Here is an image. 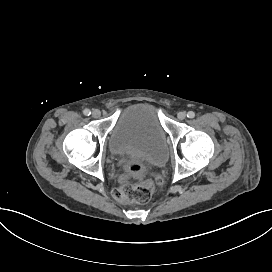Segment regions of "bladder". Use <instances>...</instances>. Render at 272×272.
<instances>
[{"mask_svg": "<svg viewBox=\"0 0 272 272\" xmlns=\"http://www.w3.org/2000/svg\"><path fill=\"white\" fill-rule=\"evenodd\" d=\"M107 148L114 158L132 153L143 164L165 163L168 158L166 131L158 107L140 104L124 107L109 134Z\"/></svg>", "mask_w": 272, "mask_h": 272, "instance_id": "bladder-1", "label": "bladder"}]
</instances>
